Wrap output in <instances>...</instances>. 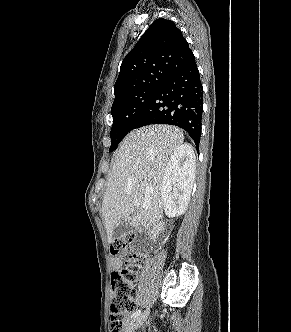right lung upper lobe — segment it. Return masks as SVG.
<instances>
[{"label":"right lung upper lobe","instance_id":"1","mask_svg":"<svg viewBox=\"0 0 291 332\" xmlns=\"http://www.w3.org/2000/svg\"><path fill=\"white\" fill-rule=\"evenodd\" d=\"M193 60L188 42L174 22L155 20L124 58L114 86V101L153 82H162Z\"/></svg>","mask_w":291,"mask_h":332}]
</instances>
